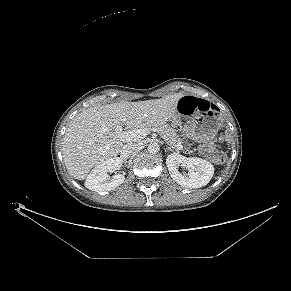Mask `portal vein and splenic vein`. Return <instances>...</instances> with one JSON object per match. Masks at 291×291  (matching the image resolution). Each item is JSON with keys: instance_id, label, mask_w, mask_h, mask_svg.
<instances>
[{"instance_id": "portal-vein-and-splenic-vein-1", "label": "portal vein and splenic vein", "mask_w": 291, "mask_h": 291, "mask_svg": "<svg viewBox=\"0 0 291 291\" xmlns=\"http://www.w3.org/2000/svg\"><path fill=\"white\" fill-rule=\"evenodd\" d=\"M150 129L148 128H139L135 130L130 131H122V127L118 126L116 128V133L118 134V137L123 142H130V141H137L139 139H143L146 135L149 134ZM182 145H178V149H182Z\"/></svg>"}]
</instances>
